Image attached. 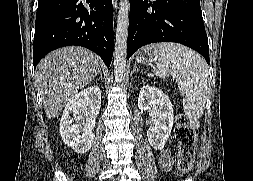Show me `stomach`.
<instances>
[{
  "instance_id": "obj_1",
  "label": "stomach",
  "mask_w": 253,
  "mask_h": 181,
  "mask_svg": "<svg viewBox=\"0 0 253 181\" xmlns=\"http://www.w3.org/2000/svg\"><path fill=\"white\" fill-rule=\"evenodd\" d=\"M154 47L155 45H150L142 48L138 53V60L147 64H154Z\"/></svg>"
}]
</instances>
